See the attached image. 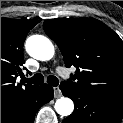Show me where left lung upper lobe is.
Instances as JSON below:
<instances>
[{
    "instance_id": "obj_1",
    "label": "left lung upper lobe",
    "mask_w": 123,
    "mask_h": 123,
    "mask_svg": "<svg viewBox=\"0 0 123 123\" xmlns=\"http://www.w3.org/2000/svg\"><path fill=\"white\" fill-rule=\"evenodd\" d=\"M46 34L56 42L66 67L76 71L69 86L123 103V41L94 18L48 19Z\"/></svg>"
}]
</instances>
